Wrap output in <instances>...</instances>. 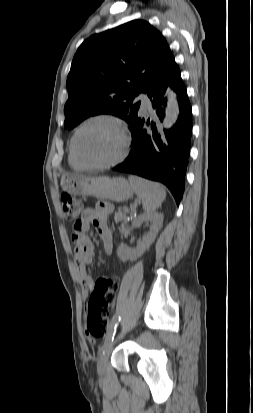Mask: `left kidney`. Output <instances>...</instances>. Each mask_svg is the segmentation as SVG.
<instances>
[{
  "instance_id": "obj_1",
  "label": "left kidney",
  "mask_w": 253,
  "mask_h": 413,
  "mask_svg": "<svg viewBox=\"0 0 253 413\" xmlns=\"http://www.w3.org/2000/svg\"><path fill=\"white\" fill-rule=\"evenodd\" d=\"M143 222H150L151 227L149 232L143 237L142 242H140L135 249H128L123 246H119L117 249V255L123 262L130 260L134 261L140 257L150 245L154 242L156 235L163 224V215L157 212L154 213H144L134 218L132 225L134 227H139Z\"/></svg>"
}]
</instances>
